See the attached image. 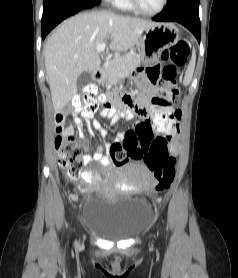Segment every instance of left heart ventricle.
<instances>
[{"label":"left heart ventricle","mask_w":238,"mask_h":278,"mask_svg":"<svg viewBox=\"0 0 238 278\" xmlns=\"http://www.w3.org/2000/svg\"><path fill=\"white\" fill-rule=\"evenodd\" d=\"M139 5L147 11H155L160 7L162 0H137Z\"/></svg>","instance_id":"b2bd125f"}]
</instances>
